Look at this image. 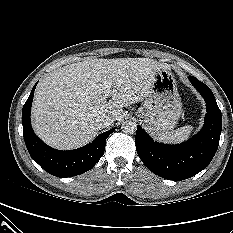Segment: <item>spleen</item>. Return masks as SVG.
I'll use <instances>...</instances> for the list:
<instances>
[{"label": "spleen", "instance_id": "spleen-1", "mask_svg": "<svg viewBox=\"0 0 233 233\" xmlns=\"http://www.w3.org/2000/svg\"><path fill=\"white\" fill-rule=\"evenodd\" d=\"M193 131V127L183 126L175 131L163 132L156 135V139L164 143H180L187 140Z\"/></svg>", "mask_w": 233, "mask_h": 233}]
</instances>
